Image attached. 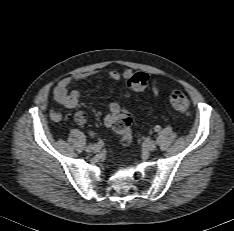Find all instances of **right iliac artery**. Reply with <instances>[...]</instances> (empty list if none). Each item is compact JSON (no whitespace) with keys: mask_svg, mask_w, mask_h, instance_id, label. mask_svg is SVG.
Wrapping results in <instances>:
<instances>
[{"mask_svg":"<svg viewBox=\"0 0 234 231\" xmlns=\"http://www.w3.org/2000/svg\"><path fill=\"white\" fill-rule=\"evenodd\" d=\"M95 144H90L89 147H93Z\"/></svg>","mask_w":234,"mask_h":231,"instance_id":"82829eb1","label":"right iliac artery"}]
</instances>
